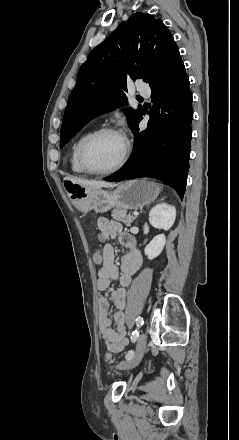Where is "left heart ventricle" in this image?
<instances>
[{
  "instance_id": "b2bd125f",
  "label": "left heart ventricle",
  "mask_w": 239,
  "mask_h": 440,
  "mask_svg": "<svg viewBox=\"0 0 239 440\" xmlns=\"http://www.w3.org/2000/svg\"><path fill=\"white\" fill-rule=\"evenodd\" d=\"M125 148V139L120 134H104L93 140L87 148V161L96 170L114 168Z\"/></svg>"
}]
</instances>
